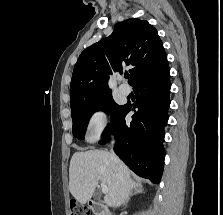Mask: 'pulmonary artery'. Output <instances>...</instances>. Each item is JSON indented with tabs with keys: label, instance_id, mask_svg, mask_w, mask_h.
Masks as SVG:
<instances>
[{
	"label": "pulmonary artery",
	"instance_id": "pulmonary-artery-1",
	"mask_svg": "<svg viewBox=\"0 0 223 215\" xmlns=\"http://www.w3.org/2000/svg\"><path fill=\"white\" fill-rule=\"evenodd\" d=\"M119 91H120V93L127 95V94H129L130 88L127 84H121L119 86Z\"/></svg>",
	"mask_w": 223,
	"mask_h": 215
}]
</instances>
